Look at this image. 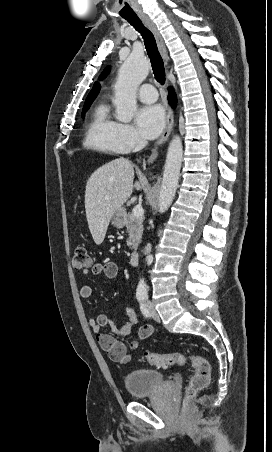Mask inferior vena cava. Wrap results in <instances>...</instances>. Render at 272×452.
Returning <instances> with one entry per match:
<instances>
[{
    "label": "inferior vena cava",
    "mask_w": 272,
    "mask_h": 452,
    "mask_svg": "<svg viewBox=\"0 0 272 452\" xmlns=\"http://www.w3.org/2000/svg\"><path fill=\"white\" fill-rule=\"evenodd\" d=\"M146 145H147V141L146 140L138 139L137 144H136V146H135L133 151L137 152V151L143 149Z\"/></svg>",
    "instance_id": "obj_1"
}]
</instances>
